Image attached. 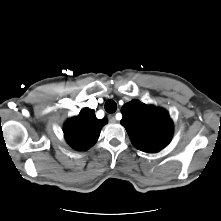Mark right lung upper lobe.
<instances>
[{
	"mask_svg": "<svg viewBox=\"0 0 221 221\" xmlns=\"http://www.w3.org/2000/svg\"><path fill=\"white\" fill-rule=\"evenodd\" d=\"M106 119H97L94 110L85 108L68 119L64 126L65 139L76 150H87L97 141Z\"/></svg>",
	"mask_w": 221,
	"mask_h": 221,
	"instance_id": "obj_1",
	"label": "right lung upper lobe"
}]
</instances>
